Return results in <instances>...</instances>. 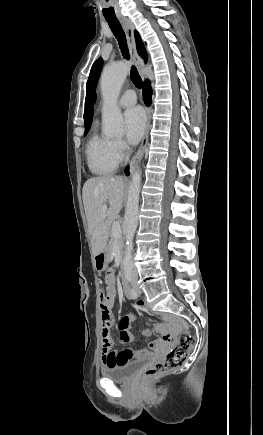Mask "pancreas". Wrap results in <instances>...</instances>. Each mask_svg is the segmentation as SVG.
Returning a JSON list of instances; mask_svg holds the SVG:
<instances>
[{
    "label": "pancreas",
    "mask_w": 263,
    "mask_h": 435,
    "mask_svg": "<svg viewBox=\"0 0 263 435\" xmlns=\"http://www.w3.org/2000/svg\"><path fill=\"white\" fill-rule=\"evenodd\" d=\"M121 242H122L121 237L116 238L113 236V233L111 232V240H110L109 246H108L109 251L111 252L112 246L115 243H117L118 245H121Z\"/></svg>",
    "instance_id": "pancreas-1"
}]
</instances>
